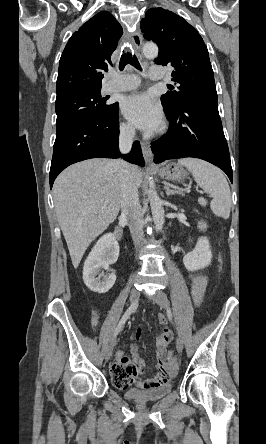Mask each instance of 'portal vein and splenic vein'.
Returning <instances> with one entry per match:
<instances>
[{
    "mask_svg": "<svg viewBox=\"0 0 266 444\" xmlns=\"http://www.w3.org/2000/svg\"><path fill=\"white\" fill-rule=\"evenodd\" d=\"M186 192H190V190L189 189H187V190H185ZM106 203H108V201H106Z\"/></svg>",
    "mask_w": 266,
    "mask_h": 444,
    "instance_id": "18ae733b",
    "label": "portal vein and splenic vein"
}]
</instances>
